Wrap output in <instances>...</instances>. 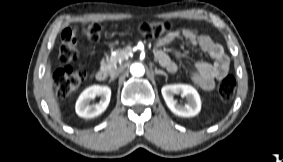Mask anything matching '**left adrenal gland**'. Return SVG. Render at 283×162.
Segmentation results:
<instances>
[{
    "label": "left adrenal gland",
    "mask_w": 283,
    "mask_h": 162,
    "mask_svg": "<svg viewBox=\"0 0 283 162\" xmlns=\"http://www.w3.org/2000/svg\"><path fill=\"white\" fill-rule=\"evenodd\" d=\"M154 72H155V74H157V75H158V74H162V75H164L166 78L168 77L167 74H166L164 71L158 70L157 68L154 69Z\"/></svg>",
    "instance_id": "1"
}]
</instances>
